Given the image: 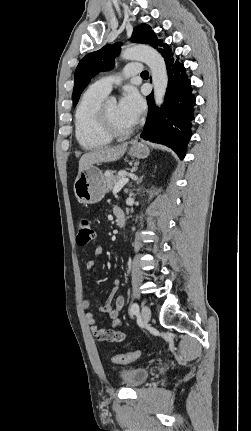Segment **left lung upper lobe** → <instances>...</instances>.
<instances>
[{"label": "left lung upper lobe", "mask_w": 251, "mask_h": 431, "mask_svg": "<svg viewBox=\"0 0 251 431\" xmlns=\"http://www.w3.org/2000/svg\"><path fill=\"white\" fill-rule=\"evenodd\" d=\"M132 42L149 43L153 46L157 36L147 24H141L133 30ZM120 43L105 45L100 50L87 54L78 64L75 71V85L73 89V106L78 103L79 97L88 85L91 78L101 71L112 69L114 57L120 52Z\"/></svg>", "instance_id": "obj_1"}]
</instances>
